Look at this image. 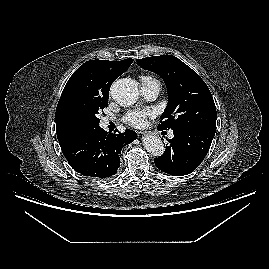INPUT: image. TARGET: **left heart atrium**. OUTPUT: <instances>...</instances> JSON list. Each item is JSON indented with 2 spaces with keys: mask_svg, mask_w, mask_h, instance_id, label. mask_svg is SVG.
I'll return each instance as SVG.
<instances>
[{
  "mask_svg": "<svg viewBox=\"0 0 269 269\" xmlns=\"http://www.w3.org/2000/svg\"><path fill=\"white\" fill-rule=\"evenodd\" d=\"M155 113L151 109H138L128 112L124 120L134 127H142L146 124L147 119L154 117Z\"/></svg>",
  "mask_w": 269,
  "mask_h": 269,
  "instance_id": "obj_1",
  "label": "left heart atrium"
}]
</instances>
